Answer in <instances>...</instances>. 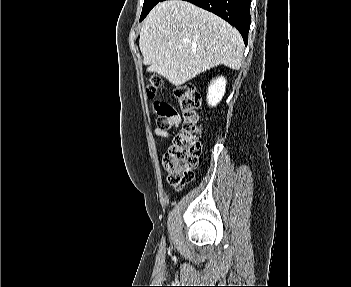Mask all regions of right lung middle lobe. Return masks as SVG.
<instances>
[{"label":"right lung middle lobe","mask_w":351,"mask_h":287,"mask_svg":"<svg viewBox=\"0 0 351 287\" xmlns=\"http://www.w3.org/2000/svg\"><path fill=\"white\" fill-rule=\"evenodd\" d=\"M162 0H144V4H143V9H142V13H141V17H140V21H142L147 14L151 11V9L159 2H161Z\"/></svg>","instance_id":"dd1d6c3e"}]
</instances>
